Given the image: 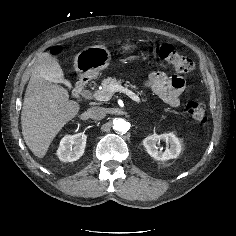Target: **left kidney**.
<instances>
[{"label":"left kidney","instance_id":"5707ae66","mask_svg":"<svg viewBox=\"0 0 236 236\" xmlns=\"http://www.w3.org/2000/svg\"><path fill=\"white\" fill-rule=\"evenodd\" d=\"M161 140L168 144L165 151L158 150L156 144ZM143 145L148 154L156 160H169L177 158L182 150L180 140L173 133H165L161 135H150L143 140Z\"/></svg>","mask_w":236,"mask_h":236}]
</instances>
